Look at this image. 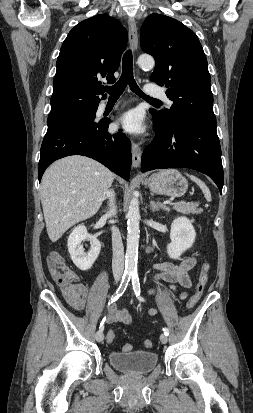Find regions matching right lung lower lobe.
<instances>
[{
  "label": "right lung lower lobe",
  "instance_id": "right-lung-lower-lobe-1",
  "mask_svg": "<svg viewBox=\"0 0 253 413\" xmlns=\"http://www.w3.org/2000/svg\"><path fill=\"white\" fill-rule=\"evenodd\" d=\"M110 121L73 125L47 131L38 165V177L55 160L69 155H83L97 160L124 179L131 169V143L121 132L108 133Z\"/></svg>",
  "mask_w": 253,
  "mask_h": 413
}]
</instances>
